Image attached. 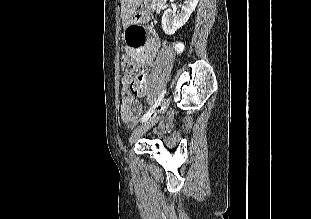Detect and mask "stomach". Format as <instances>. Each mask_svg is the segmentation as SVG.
Wrapping results in <instances>:
<instances>
[{
	"label": "stomach",
	"mask_w": 311,
	"mask_h": 219,
	"mask_svg": "<svg viewBox=\"0 0 311 219\" xmlns=\"http://www.w3.org/2000/svg\"><path fill=\"white\" fill-rule=\"evenodd\" d=\"M150 0H135L133 1L134 4L138 7L141 4H147ZM136 7V8H137ZM151 19V8L147 6V8L140 9V10H134V12L130 15L128 18V23H147Z\"/></svg>",
	"instance_id": "1"
}]
</instances>
